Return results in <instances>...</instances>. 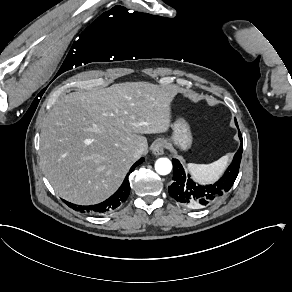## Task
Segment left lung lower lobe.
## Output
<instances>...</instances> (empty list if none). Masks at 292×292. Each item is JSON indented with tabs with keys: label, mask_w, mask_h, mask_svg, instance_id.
<instances>
[{
	"label": "left lung lower lobe",
	"mask_w": 292,
	"mask_h": 292,
	"mask_svg": "<svg viewBox=\"0 0 292 292\" xmlns=\"http://www.w3.org/2000/svg\"><path fill=\"white\" fill-rule=\"evenodd\" d=\"M241 145L234 155L233 161L224 175L214 184L197 185L186 175L183 166L177 159H172L174 173L172 184L168 187V192L172 198L187 208H202L209 206L221 199L233 186L240 167L243 143L239 131Z\"/></svg>",
	"instance_id": "obj_1"
}]
</instances>
